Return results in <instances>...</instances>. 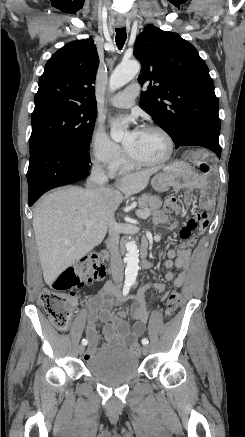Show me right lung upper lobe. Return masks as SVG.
<instances>
[{
  "instance_id": "1",
  "label": "right lung upper lobe",
  "mask_w": 245,
  "mask_h": 437,
  "mask_svg": "<svg viewBox=\"0 0 245 437\" xmlns=\"http://www.w3.org/2000/svg\"><path fill=\"white\" fill-rule=\"evenodd\" d=\"M98 65L92 38L66 44L46 63L35 106L57 102L96 108L94 83Z\"/></svg>"
}]
</instances>
